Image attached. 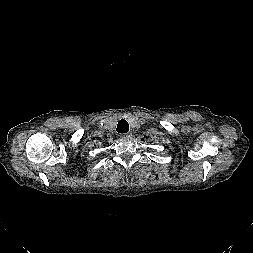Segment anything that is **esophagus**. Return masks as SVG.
Here are the masks:
<instances>
[{
	"instance_id": "obj_1",
	"label": "esophagus",
	"mask_w": 253,
	"mask_h": 253,
	"mask_svg": "<svg viewBox=\"0 0 253 253\" xmlns=\"http://www.w3.org/2000/svg\"><path fill=\"white\" fill-rule=\"evenodd\" d=\"M132 133H125L121 135V138L123 139H131L132 138Z\"/></svg>"
}]
</instances>
